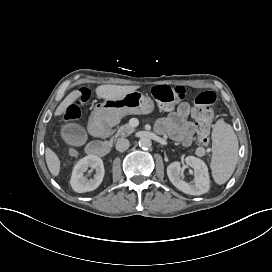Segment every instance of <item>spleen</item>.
I'll use <instances>...</instances> for the list:
<instances>
[{
	"label": "spleen",
	"mask_w": 272,
	"mask_h": 272,
	"mask_svg": "<svg viewBox=\"0 0 272 272\" xmlns=\"http://www.w3.org/2000/svg\"><path fill=\"white\" fill-rule=\"evenodd\" d=\"M211 170L214 181L222 185L233 174L238 160V138L231 125L219 119L212 130Z\"/></svg>",
	"instance_id": "1"
}]
</instances>
